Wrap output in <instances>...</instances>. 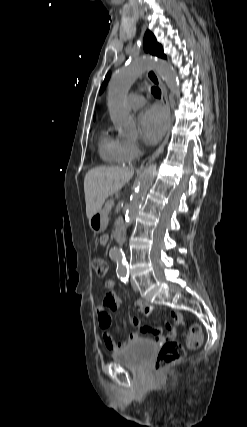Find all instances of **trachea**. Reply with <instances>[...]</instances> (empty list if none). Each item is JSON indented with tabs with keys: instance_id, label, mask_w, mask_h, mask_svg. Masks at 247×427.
Wrapping results in <instances>:
<instances>
[{
	"instance_id": "trachea-1",
	"label": "trachea",
	"mask_w": 247,
	"mask_h": 427,
	"mask_svg": "<svg viewBox=\"0 0 247 427\" xmlns=\"http://www.w3.org/2000/svg\"><path fill=\"white\" fill-rule=\"evenodd\" d=\"M151 91H152V94H153L155 97H160V96H161V90H160L159 88H157V87H152Z\"/></svg>"
}]
</instances>
